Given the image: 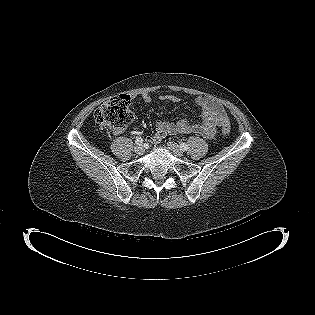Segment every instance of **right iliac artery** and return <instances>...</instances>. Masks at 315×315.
Instances as JSON below:
<instances>
[{
	"label": "right iliac artery",
	"instance_id": "82829eb1",
	"mask_svg": "<svg viewBox=\"0 0 315 315\" xmlns=\"http://www.w3.org/2000/svg\"><path fill=\"white\" fill-rule=\"evenodd\" d=\"M135 143H136L137 145H141V144L143 143V139H142L141 137H138V138L136 139Z\"/></svg>",
	"mask_w": 315,
	"mask_h": 315
}]
</instances>
